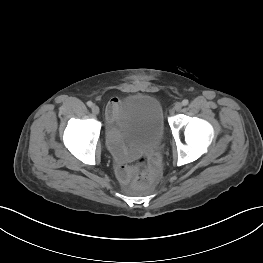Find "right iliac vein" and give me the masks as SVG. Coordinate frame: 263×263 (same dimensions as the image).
<instances>
[{"label":"right iliac vein","mask_w":263,"mask_h":263,"mask_svg":"<svg viewBox=\"0 0 263 263\" xmlns=\"http://www.w3.org/2000/svg\"><path fill=\"white\" fill-rule=\"evenodd\" d=\"M92 112L95 114V115H98L99 112H100V109L97 105H93L92 106Z\"/></svg>","instance_id":"63e3f726"}]
</instances>
